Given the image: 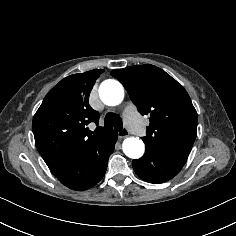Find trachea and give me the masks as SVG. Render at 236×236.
Returning a JSON list of instances; mask_svg holds the SVG:
<instances>
[{"mask_svg":"<svg viewBox=\"0 0 236 236\" xmlns=\"http://www.w3.org/2000/svg\"><path fill=\"white\" fill-rule=\"evenodd\" d=\"M104 127L107 129L114 127L115 130L121 131L123 128V121L119 115L108 113L104 118Z\"/></svg>","mask_w":236,"mask_h":236,"instance_id":"1","label":"trachea"}]
</instances>
